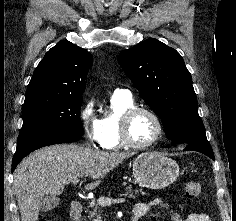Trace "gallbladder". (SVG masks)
Returning <instances> with one entry per match:
<instances>
[{
  "label": "gallbladder",
  "instance_id": "1",
  "mask_svg": "<svg viewBox=\"0 0 236 221\" xmlns=\"http://www.w3.org/2000/svg\"><path fill=\"white\" fill-rule=\"evenodd\" d=\"M60 199L56 196L47 195L40 201V211L48 212L53 210L59 204Z\"/></svg>",
  "mask_w": 236,
  "mask_h": 221
}]
</instances>
